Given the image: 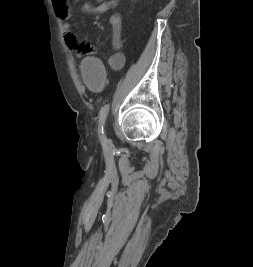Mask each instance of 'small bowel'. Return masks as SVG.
<instances>
[{
  "label": "small bowel",
  "mask_w": 253,
  "mask_h": 267,
  "mask_svg": "<svg viewBox=\"0 0 253 267\" xmlns=\"http://www.w3.org/2000/svg\"><path fill=\"white\" fill-rule=\"evenodd\" d=\"M82 0H74L75 3L81 2ZM92 2H84L81 10L87 14H102L108 10L114 8L118 4V0H92ZM54 10L56 14L64 21V42L67 47L79 58L84 53L93 50L88 44H82L77 41L75 34L71 30V20L73 17L71 5L69 0H52ZM109 26L111 31V43L112 46L117 50L109 59V63L113 68L119 69L123 67L125 63V56L120 49L122 47V19L119 13H113L109 18Z\"/></svg>",
  "instance_id": "obj_1"
}]
</instances>
